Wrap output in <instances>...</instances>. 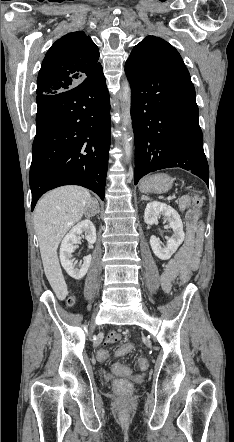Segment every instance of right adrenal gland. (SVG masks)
Instances as JSON below:
<instances>
[{
  "instance_id": "2a0ac1e0",
  "label": "right adrenal gland",
  "mask_w": 234,
  "mask_h": 442,
  "mask_svg": "<svg viewBox=\"0 0 234 442\" xmlns=\"http://www.w3.org/2000/svg\"><path fill=\"white\" fill-rule=\"evenodd\" d=\"M89 203H94V204L96 205V208H97V213H99V212H100L99 204H98V202H97V200H96V199H94V198H91V199H90V202H89ZM88 206H89V204L87 205V207H86V209H85V210H87V209H88Z\"/></svg>"
}]
</instances>
